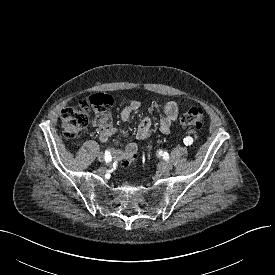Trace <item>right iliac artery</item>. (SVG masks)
Returning <instances> with one entry per match:
<instances>
[{
    "mask_svg": "<svg viewBox=\"0 0 275 275\" xmlns=\"http://www.w3.org/2000/svg\"><path fill=\"white\" fill-rule=\"evenodd\" d=\"M105 161L108 163V162H110L111 161V159H112V156H111V153L109 152V151H106L105 152Z\"/></svg>",
    "mask_w": 275,
    "mask_h": 275,
    "instance_id": "right-iliac-artery-1",
    "label": "right iliac artery"
}]
</instances>
